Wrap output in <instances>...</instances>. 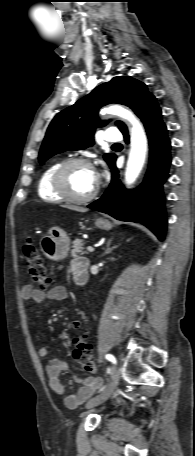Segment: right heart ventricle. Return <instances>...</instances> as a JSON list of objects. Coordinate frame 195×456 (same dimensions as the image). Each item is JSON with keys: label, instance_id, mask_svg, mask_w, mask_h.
Returning a JSON list of instances; mask_svg holds the SVG:
<instances>
[{"label": "right heart ventricle", "instance_id": "e07e8e85", "mask_svg": "<svg viewBox=\"0 0 195 456\" xmlns=\"http://www.w3.org/2000/svg\"><path fill=\"white\" fill-rule=\"evenodd\" d=\"M60 161L49 164L39 177L37 191L40 198L45 201L58 202L62 200L52 187V175L55 169L60 165Z\"/></svg>", "mask_w": 195, "mask_h": 456}]
</instances>
